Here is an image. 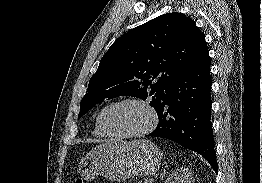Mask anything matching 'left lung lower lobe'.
<instances>
[{
  "mask_svg": "<svg viewBox=\"0 0 262 183\" xmlns=\"http://www.w3.org/2000/svg\"><path fill=\"white\" fill-rule=\"evenodd\" d=\"M211 76L208 48L173 81L157 110L159 123L149 137L172 140L202 155L217 173L211 124Z\"/></svg>",
  "mask_w": 262,
  "mask_h": 183,
  "instance_id": "obj_1",
  "label": "left lung lower lobe"
}]
</instances>
